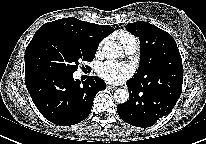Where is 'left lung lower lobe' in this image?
Listing matches in <instances>:
<instances>
[{"label":"left lung lower lobe","mask_w":206,"mask_h":144,"mask_svg":"<svg viewBox=\"0 0 206 144\" xmlns=\"http://www.w3.org/2000/svg\"><path fill=\"white\" fill-rule=\"evenodd\" d=\"M129 100L117 105L120 118L137 127H150L174 108L182 91V82L149 87L131 79L126 83Z\"/></svg>","instance_id":"obj_1"}]
</instances>
